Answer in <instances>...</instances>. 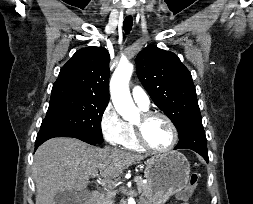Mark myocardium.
<instances>
[{"mask_svg":"<svg viewBox=\"0 0 253 204\" xmlns=\"http://www.w3.org/2000/svg\"><path fill=\"white\" fill-rule=\"evenodd\" d=\"M154 118H162L164 119L168 125L171 128L172 131V141L170 145L164 149H156L153 148L146 140L145 135H144V125L154 119ZM134 129H135V134L137 141L139 145L144 149L152 153H157V154H164V153H169L172 151L175 146L177 145L178 142V131L177 128L174 124V122L164 113L160 112H144L141 114V122L139 124H134Z\"/></svg>","mask_w":253,"mask_h":204,"instance_id":"obj_1","label":"myocardium"}]
</instances>
